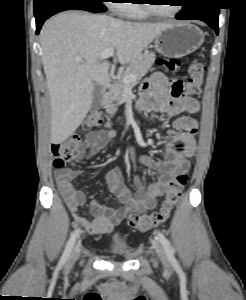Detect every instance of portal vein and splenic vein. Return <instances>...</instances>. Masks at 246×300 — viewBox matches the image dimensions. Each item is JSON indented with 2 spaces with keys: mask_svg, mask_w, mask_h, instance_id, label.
<instances>
[{
  "mask_svg": "<svg viewBox=\"0 0 246 300\" xmlns=\"http://www.w3.org/2000/svg\"><path fill=\"white\" fill-rule=\"evenodd\" d=\"M114 55V48H108L105 51H103V53L100 55V60H104L107 59L109 57H112ZM135 80V76L134 75H128L124 78V82L125 83H129L131 81Z\"/></svg>",
  "mask_w": 246,
  "mask_h": 300,
  "instance_id": "obj_1",
  "label": "portal vein and splenic vein"
}]
</instances>
